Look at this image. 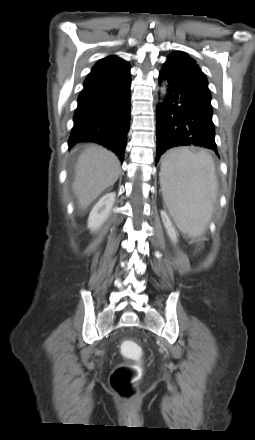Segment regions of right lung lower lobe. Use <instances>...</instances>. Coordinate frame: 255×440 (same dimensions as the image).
Masks as SVG:
<instances>
[{"mask_svg": "<svg viewBox=\"0 0 255 440\" xmlns=\"http://www.w3.org/2000/svg\"><path fill=\"white\" fill-rule=\"evenodd\" d=\"M130 85L129 65L85 82L78 97L69 146L97 142L123 161L130 124Z\"/></svg>", "mask_w": 255, "mask_h": 440, "instance_id": "right-lung-lower-lobe-1", "label": "right lung lower lobe"}]
</instances>
